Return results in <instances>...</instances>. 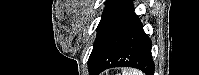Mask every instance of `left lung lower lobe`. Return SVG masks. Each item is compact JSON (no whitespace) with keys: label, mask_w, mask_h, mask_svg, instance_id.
I'll return each mask as SVG.
<instances>
[{"label":"left lung lower lobe","mask_w":199,"mask_h":75,"mask_svg":"<svg viewBox=\"0 0 199 75\" xmlns=\"http://www.w3.org/2000/svg\"><path fill=\"white\" fill-rule=\"evenodd\" d=\"M151 44L134 12L132 0H122L89 57V75H98L112 67H134L146 75H154Z\"/></svg>","instance_id":"1"}]
</instances>
